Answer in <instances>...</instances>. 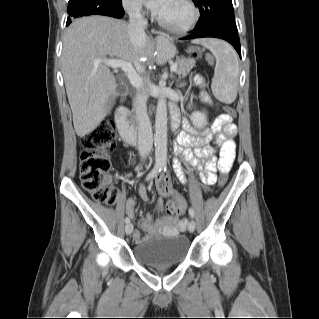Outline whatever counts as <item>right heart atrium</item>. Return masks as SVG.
I'll return each instance as SVG.
<instances>
[{
	"label": "right heart atrium",
	"instance_id": "right-heart-atrium-1",
	"mask_svg": "<svg viewBox=\"0 0 319 319\" xmlns=\"http://www.w3.org/2000/svg\"><path fill=\"white\" fill-rule=\"evenodd\" d=\"M124 7L133 14H140L143 12L141 4L138 0H122Z\"/></svg>",
	"mask_w": 319,
	"mask_h": 319
}]
</instances>
